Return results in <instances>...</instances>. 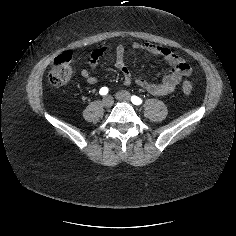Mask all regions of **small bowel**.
<instances>
[{
  "instance_id": "1",
  "label": "small bowel",
  "mask_w": 236,
  "mask_h": 236,
  "mask_svg": "<svg viewBox=\"0 0 236 236\" xmlns=\"http://www.w3.org/2000/svg\"><path fill=\"white\" fill-rule=\"evenodd\" d=\"M132 48L135 50L150 52L156 56L162 57L171 65L172 68L160 82L153 83L142 77L134 79L125 61V48L123 45L118 44L113 49V60L114 65L123 75V82L125 85H130L134 81L139 87L143 88L148 93L156 96H164L172 93L177 88L182 78L189 76L191 73L190 64L167 47L159 46L150 42H135L133 43ZM107 51L108 48L105 46L94 50L90 56V66L96 68L99 59L105 55ZM80 74L89 85H94L98 82L97 77L92 75L86 68H83Z\"/></svg>"
}]
</instances>
